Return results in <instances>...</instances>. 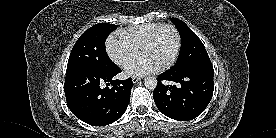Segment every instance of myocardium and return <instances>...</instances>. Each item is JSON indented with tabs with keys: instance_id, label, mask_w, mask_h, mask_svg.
Instances as JSON below:
<instances>
[{
	"instance_id": "obj_1",
	"label": "myocardium",
	"mask_w": 276,
	"mask_h": 138,
	"mask_svg": "<svg viewBox=\"0 0 276 138\" xmlns=\"http://www.w3.org/2000/svg\"><path fill=\"white\" fill-rule=\"evenodd\" d=\"M167 29L171 30L174 34L175 49L171 58L164 65L161 66L162 69H167L175 63L181 49V35L179 33V30L176 28V26H174L173 24H162L150 35V37L143 43L141 47V50H142L143 48L154 44L158 39V37L160 36V34Z\"/></svg>"
}]
</instances>
